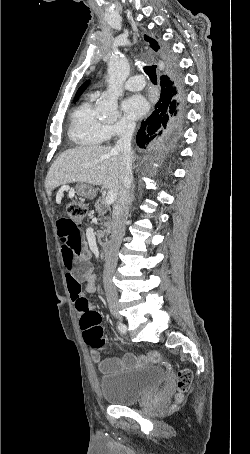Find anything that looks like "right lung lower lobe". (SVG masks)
Wrapping results in <instances>:
<instances>
[{
  "instance_id": "obj_1",
  "label": "right lung lower lobe",
  "mask_w": 250,
  "mask_h": 454,
  "mask_svg": "<svg viewBox=\"0 0 250 454\" xmlns=\"http://www.w3.org/2000/svg\"><path fill=\"white\" fill-rule=\"evenodd\" d=\"M172 67L160 77L161 94L154 112L142 122L136 142L144 148L150 142L172 139L179 133L183 119V100L176 61L169 53Z\"/></svg>"
}]
</instances>
